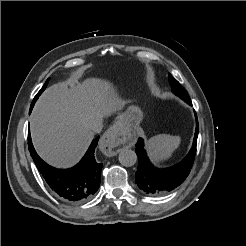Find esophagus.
I'll list each match as a JSON object with an SVG mask.
<instances>
[{
    "mask_svg": "<svg viewBox=\"0 0 246 246\" xmlns=\"http://www.w3.org/2000/svg\"><path fill=\"white\" fill-rule=\"evenodd\" d=\"M122 129L118 124L111 126L102 136L100 141V149L107 156H114L118 150L115 148L120 143Z\"/></svg>",
    "mask_w": 246,
    "mask_h": 246,
    "instance_id": "obj_1",
    "label": "esophagus"
}]
</instances>
